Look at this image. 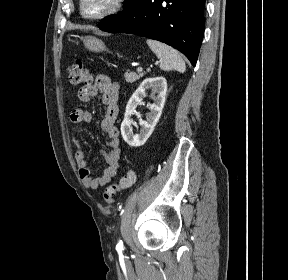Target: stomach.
Returning a JSON list of instances; mask_svg holds the SVG:
<instances>
[{
  "mask_svg": "<svg viewBox=\"0 0 288 280\" xmlns=\"http://www.w3.org/2000/svg\"><path fill=\"white\" fill-rule=\"evenodd\" d=\"M85 47L92 52H102L106 50L105 43L93 36H86L83 38Z\"/></svg>",
  "mask_w": 288,
  "mask_h": 280,
  "instance_id": "0dacf381",
  "label": "stomach"
}]
</instances>
